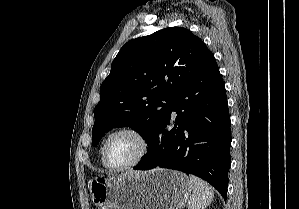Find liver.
Instances as JSON below:
<instances>
[{
	"label": "liver",
	"instance_id": "1",
	"mask_svg": "<svg viewBox=\"0 0 299 209\" xmlns=\"http://www.w3.org/2000/svg\"><path fill=\"white\" fill-rule=\"evenodd\" d=\"M137 173H139V172H133V171H130V172H127V173L123 174L122 176H125V175H127V174H137Z\"/></svg>",
	"mask_w": 299,
	"mask_h": 209
}]
</instances>
